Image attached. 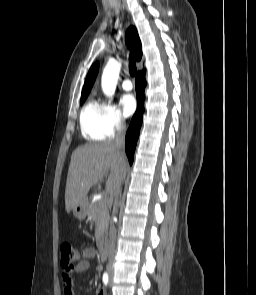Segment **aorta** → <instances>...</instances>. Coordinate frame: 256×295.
<instances>
[{"label": "aorta", "mask_w": 256, "mask_h": 295, "mask_svg": "<svg viewBox=\"0 0 256 295\" xmlns=\"http://www.w3.org/2000/svg\"><path fill=\"white\" fill-rule=\"evenodd\" d=\"M120 69L121 63L111 59L103 70L101 86L103 93L108 97H112L115 93Z\"/></svg>", "instance_id": "1"}]
</instances>
